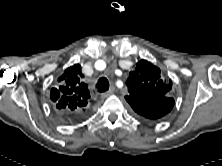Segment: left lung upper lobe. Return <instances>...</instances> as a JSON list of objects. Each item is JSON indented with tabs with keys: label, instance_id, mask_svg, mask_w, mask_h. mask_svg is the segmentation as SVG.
<instances>
[{
	"label": "left lung upper lobe",
	"instance_id": "5c2ea615",
	"mask_svg": "<svg viewBox=\"0 0 222 166\" xmlns=\"http://www.w3.org/2000/svg\"><path fill=\"white\" fill-rule=\"evenodd\" d=\"M129 94L125 96L137 115L149 119V113L162 109L163 99L170 97L171 80L167 82L160 75V69L152 63L141 60L126 81Z\"/></svg>",
	"mask_w": 222,
	"mask_h": 166
}]
</instances>
